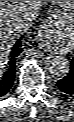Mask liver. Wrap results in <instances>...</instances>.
Segmentation results:
<instances>
[{
  "label": "liver",
  "mask_w": 74,
  "mask_h": 122,
  "mask_svg": "<svg viewBox=\"0 0 74 122\" xmlns=\"http://www.w3.org/2000/svg\"><path fill=\"white\" fill-rule=\"evenodd\" d=\"M43 1H0V71H4L14 43L26 31L20 24L33 13L37 16ZM36 18V17H35ZM34 18V19H35Z\"/></svg>",
  "instance_id": "1"
}]
</instances>
